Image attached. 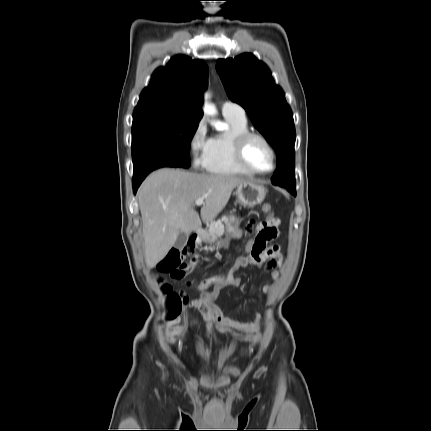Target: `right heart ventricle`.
I'll return each mask as SVG.
<instances>
[{
	"instance_id": "obj_1",
	"label": "right heart ventricle",
	"mask_w": 431,
	"mask_h": 431,
	"mask_svg": "<svg viewBox=\"0 0 431 431\" xmlns=\"http://www.w3.org/2000/svg\"><path fill=\"white\" fill-rule=\"evenodd\" d=\"M229 129L212 138L210 158L206 170L219 175H247L235 161L233 155V143L235 138L249 131L246 119L234 116H225Z\"/></svg>"
}]
</instances>
